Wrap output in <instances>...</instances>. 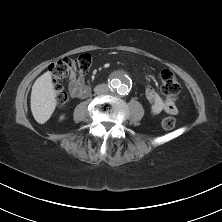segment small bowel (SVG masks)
Wrapping results in <instances>:
<instances>
[{
  "label": "small bowel",
  "instance_id": "1",
  "mask_svg": "<svg viewBox=\"0 0 222 222\" xmlns=\"http://www.w3.org/2000/svg\"><path fill=\"white\" fill-rule=\"evenodd\" d=\"M67 85L72 98H83L87 95L85 78L81 75L72 73L67 79ZM145 95L151 104V114L156 116L162 112L175 115L178 110L175 103L171 100L164 101L161 96L152 88L147 87Z\"/></svg>",
  "mask_w": 222,
  "mask_h": 222
}]
</instances>
